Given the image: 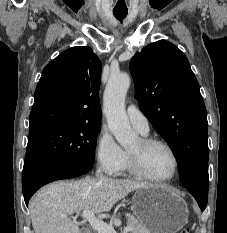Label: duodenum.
<instances>
[{"instance_id": "duodenum-1", "label": "duodenum", "mask_w": 227, "mask_h": 233, "mask_svg": "<svg viewBox=\"0 0 227 233\" xmlns=\"http://www.w3.org/2000/svg\"><path fill=\"white\" fill-rule=\"evenodd\" d=\"M83 233H91L90 231H84Z\"/></svg>"}]
</instances>
